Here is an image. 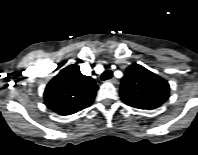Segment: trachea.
Here are the masks:
<instances>
[{
	"label": "trachea",
	"mask_w": 198,
	"mask_h": 155,
	"mask_svg": "<svg viewBox=\"0 0 198 155\" xmlns=\"http://www.w3.org/2000/svg\"><path fill=\"white\" fill-rule=\"evenodd\" d=\"M111 77H112V71H111V70H106V71H104V72L102 73V75H101V79H102L103 81L108 80V79H110Z\"/></svg>",
	"instance_id": "3493384b"
}]
</instances>
